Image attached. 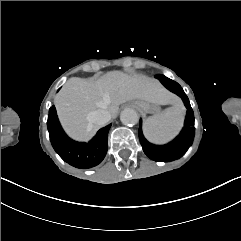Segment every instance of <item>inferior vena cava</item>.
I'll list each match as a JSON object with an SVG mask.
<instances>
[{
	"instance_id": "1",
	"label": "inferior vena cava",
	"mask_w": 241,
	"mask_h": 241,
	"mask_svg": "<svg viewBox=\"0 0 241 241\" xmlns=\"http://www.w3.org/2000/svg\"><path fill=\"white\" fill-rule=\"evenodd\" d=\"M86 118L89 123H95L99 126H102L110 121L111 114L107 110L99 109L89 112Z\"/></svg>"
}]
</instances>
